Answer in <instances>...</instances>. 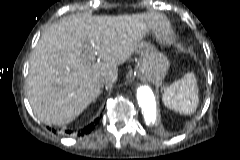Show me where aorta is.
<instances>
[{
  "label": "aorta",
  "mask_w": 240,
  "mask_h": 160,
  "mask_svg": "<svg viewBox=\"0 0 240 160\" xmlns=\"http://www.w3.org/2000/svg\"><path fill=\"white\" fill-rule=\"evenodd\" d=\"M137 101L147 125L154 124L157 117V104L152 90L148 86L137 89Z\"/></svg>",
  "instance_id": "762f6f07"
}]
</instances>
